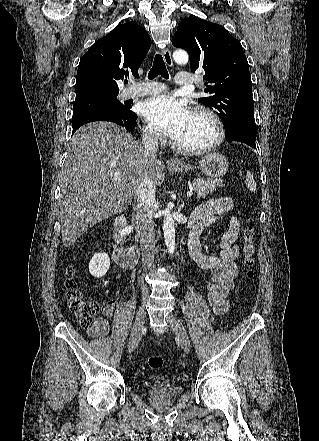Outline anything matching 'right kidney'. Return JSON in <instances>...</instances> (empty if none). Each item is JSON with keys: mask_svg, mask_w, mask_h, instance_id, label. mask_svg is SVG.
<instances>
[{"mask_svg": "<svg viewBox=\"0 0 319 441\" xmlns=\"http://www.w3.org/2000/svg\"><path fill=\"white\" fill-rule=\"evenodd\" d=\"M110 268V259L106 253H95L89 263V272L96 278L103 277Z\"/></svg>", "mask_w": 319, "mask_h": 441, "instance_id": "right-kidney-1", "label": "right kidney"}]
</instances>
